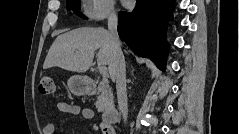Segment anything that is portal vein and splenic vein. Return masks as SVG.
<instances>
[{
	"instance_id": "portal-vein-and-splenic-vein-1",
	"label": "portal vein and splenic vein",
	"mask_w": 239,
	"mask_h": 134,
	"mask_svg": "<svg viewBox=\"0 0 239 134\" xmlns=\"http://www.w3.org/2000/svg\"><path fill=\"white\" fill-rule=\"evenodd\" d=\"M99 72L103 77L107 76V68L105 66H100L99 67Z\"/></svg>"
}]
</instances>
